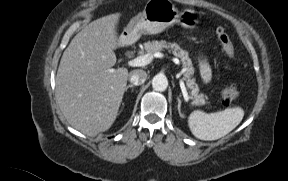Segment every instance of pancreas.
Instances as JSON below:
<instances>
[{
	"label": "pancreas",
	"mask_w": 288,
	"mask_h": 181,
	"mask_svg": "<svg viewBox=\"0 0 288 181\" xmlns=\"http://www.w3.org/2000/svg\"><path fill=\"white\" fill-rule=\"evenodd\" d=\"M144 49L150 55H153L156 52H160L166 49L168 50V52H171L174 56L180 58L182 65L185 68L184 79L186 81V85L191 90L190 98L193 100L192 104L199 106L204 105L206 103L205 101L206 96L202 93L199 94L198 85L195 83V79L192 78L194 74V68L187 51L181 49L180 46L175 42L170 43L164 40L146 42L144 43Z\"/></svg>",
	"instance_id": "obj_1"
}]
</instances>
